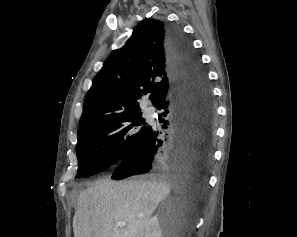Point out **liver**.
Listing matches in <instances>:
<instances>
[{
  "mask_svg": "<svg viewBox=\"0 0 297 237\" xmlns=\"http://www.w3.org/2000/svg\"><path fill=\"white\" fill-rule=\"evenodd\" d=\"M172 178L182 179L183 186L191 182L189 177ZM170 191V183L161 177L99 180L78 196L74 237H143L147 222ZM116 222L127 225L118 227Z\"/></svg>",
  "mask_w": 297,
  "mask_h": 237,
  "instance_id": "1",
  "label": "liver"
}]
</instances>
